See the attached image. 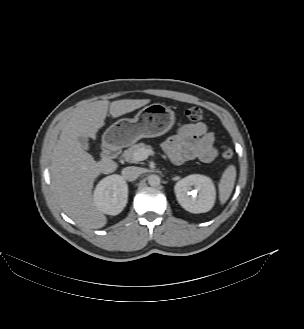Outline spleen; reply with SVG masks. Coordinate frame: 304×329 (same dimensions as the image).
<instances>
[{
    "label": "spleen",
    "instance_id": "1",
    "mask_svg": "<svg viewBox=\"0 0 304 329\" xmlns=\"http://www.w3.org/2000/svg\"><path fill=\"white\" fill-rule=\"evenodd\" d=\"M236 180V168L229 165L222 174L219 182V199L224 204L230 197Z\"/></svg>",
    "mask_w": 304,
    "mask_h": 329
}]
</instances>
